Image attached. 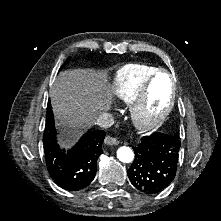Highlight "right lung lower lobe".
Instances as JSON below:
<instances>
[{
    "instance_id": "right-lung-lower-lobe-1",
    "label": "right lung lower lobe",
    "mask_w": 221,
    "mask_h": 221,
    "mask_svg": "<svg viewBox=\"0 0 221 221\" xmlns=\"http://www.w3.org/2000/svg\"><path fill=\"white\" fill-rule=\"evenodd\" d=\"M50 102H48L43 134L45 161L55 183L69 191L90 185L97 171V159L102 154L103 130L87 132L70 150L60 149Z\"/></svg>"
}]
</instances>
